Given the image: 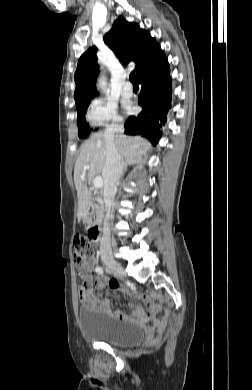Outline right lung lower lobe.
Masks as SVG:
<instances>
[{
	"mask_svg": "<svg viewBox=\"0 0 252 390\" xmlns=\"http://www.w3.org/2000/svg\"><path fill=\"white\" fill-rule=\"evenodd\" d=\"M169 65L156 72L144 74L139 80L141 92L138 104L142 111L138 116H130L125 124V133L141 135L154 144L161 136L160 128L166 122L171 107V78Z\"/></svg>",
	"mask_w": 252,
	"mask_h": 390,
	"instance_id": "98d812e1",
	"label": "right lung lower lobe"
}]
</instances>
